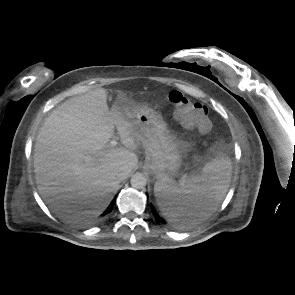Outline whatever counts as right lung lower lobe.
Returning a JSON list of instances; mask_svg holds the SVG:
<instances>
[{
  "mask_svg": "<svg viewBox=\"0 0 295 295\" xmlns=\"http://www.w3.org/2000/svg\"><path fill=\"white\" fill-rule=\"evenodd\" d=\"M112 206L113 204L111 203L110 206L106 209V211L104 212V215L108 214L109 212L112 211Z\"/></svg>",
  "mask_w": 295,
  "mask_h": 295,
  "instance_id": "1",
  "label": "right lung lower lobe"
}]
</instances>
